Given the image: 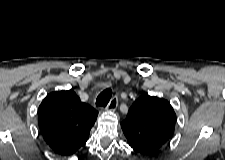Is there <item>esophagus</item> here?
Wrapping results in <instances>:
<instances>
[{
    "label": "esophagus",
    "instance_id": "34e87169",
    "mask_svg": "<svg viewBox=\"0 0 225 160\" xmlns=\"http://www.w3.org/2000/svg\"><path fill=\"white\" fill-rule=\"evenodd\" d=\"M117 105H118V98L114 96L107 105V110L114 111L117 108Z\"/></svg>",
    "mask_w": 225,
    "mask_h": 160
}]
</instances>
